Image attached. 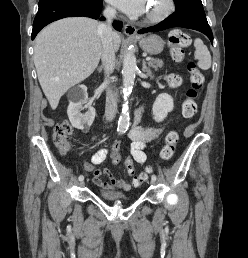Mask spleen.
I'll return each mask as SVG.
<instances>
[{
    "mask_svg": "<svg viewBox=\"0 0 248 258\" xmlns=\"http://www.w3.org/2000/svg\"><path fill=\"white\" fill-rule=\"evenodd\" d=\"M194 57L198 60V67L202 70H208L211 67V55L206 45L199 38L194 40Z\"/></svg>",
    "mask_w": 248,
    "mask_h": 258,
    "instance_id": "obj_1",
    "label": "spleen"
}]
</instances>
